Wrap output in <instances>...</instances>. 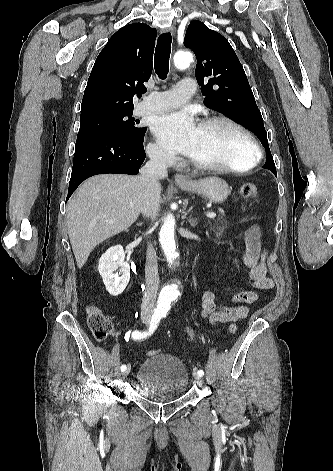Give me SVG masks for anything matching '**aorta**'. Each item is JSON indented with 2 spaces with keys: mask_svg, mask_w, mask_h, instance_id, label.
Returning <instances> with one entry per match:
<instances>
[{
  "mask_svg": "<svg viewBox=\"0 0 333 471\" xmlns=\"http://www.w3.org/2000/svg\"><path fill=\"white\" fill-rule=\"evenodd\" d=\"M192 54L189 51H179L174 56V64L178 69L187 68L192 62ZM159 242L163 252L170 263H173L179 256L175 242V218L172 214H167L163 219V225L159 232ZM180 295L177 284H170L162 288L158 307L167 309L170 307L171 301Z\"/></svg>",
  "mask_w": 333,
  "mask_h": 471,
  "instance_id": "1",
  "label": "aorta"
}]
</instances>
